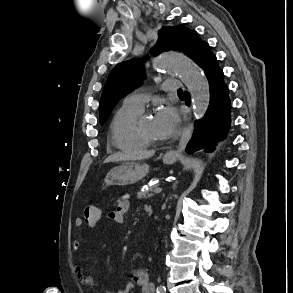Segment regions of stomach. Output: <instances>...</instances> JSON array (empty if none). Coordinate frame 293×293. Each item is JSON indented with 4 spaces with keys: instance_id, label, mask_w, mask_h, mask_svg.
Segmentation results:
<instances>
[{
    "instance_id": "1",
    "label": "stomach",
    "mask_w": 293,
    "mask_h": 293,
    "mask_svg": "<svg viewBox=\"0 0 293 293\" xmlns=\"http://www.w3.org/2000/svg\"><path fill=\"white\" fill-rule=\"evenodd\" d=\"M165 164H173L176 162V156L166 154L163 157ZM149 172V166L135 162H126L121 166L113 168L104 179L106 186L119 185L126 186L134 184L142 180Z\"/></svg>"
}]
</instances>
